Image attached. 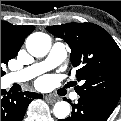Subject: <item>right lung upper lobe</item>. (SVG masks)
<instances>
[{"instance_id": "cb5924a9", "label": "right lung upper lobe", "mask_w": 121, "mask_h": 121, "mask_svg": "<svg viewBox=\"0 0 121 121\" xmlns=\"http://www.w3.org/2000/svg\"><path fill=\"white\" fill-rule=\"evenodd\" d=\"M33 30V26H14L8 22L1 21V37L6 38L11 44L19 48Z\"/></svg>"}]
</instances>
